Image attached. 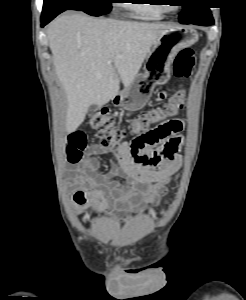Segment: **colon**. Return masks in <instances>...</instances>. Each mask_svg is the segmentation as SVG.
Instances as JSON below:
<instances>
[{"mask_svg":"<svg viewBox=\"0 0 246 300\" xmlns=\"http://www.w3.org/2000/svg\"><path fill=\"white\" fill-rule=\"evenodd\" d=\"M193 66V52L184 49L173 60L170 68L171 74L177 78H188L192 74ZM184 98V90L175 92L168 97L164 105L138 114L131 120L128 127L118 126L107 109L95 110L89 118V124L97 131V137L103 146L116 147L127 142V139L133 135L134 137L129 142L131 150L135 153H145L140 158L144 164L157 165L159 157L149 156L147 152L171 141L179 132L181 122L178 119L169 118L185 107ZM152 124L158 125L149 129ZM86 145L87 140L83 133H75L70 137L68 155L71 162L76 163L81 160Z\"/></svg>","mask_w":246,"mask_h":300,"instance_id":"1","label":"colon"}]
</instances>
